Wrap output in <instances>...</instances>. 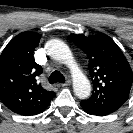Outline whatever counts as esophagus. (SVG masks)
<instances>
[{"label": "esophagus", "mask_w": 133, "mask_h": 133, "mask_svg": "<svg viewBox=\"0 0 133 133\" xmlns=\"http://www.w3.org/2000/svg\"><path fill=\"white\" fill-rule=\"evenodd\" d=\"M71 84L70 80H67L65 83L62 84L63 87L69 86Z\"/></svg>", "instance_id": "esophagus-1"}]
</instances>
